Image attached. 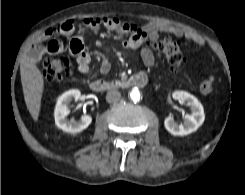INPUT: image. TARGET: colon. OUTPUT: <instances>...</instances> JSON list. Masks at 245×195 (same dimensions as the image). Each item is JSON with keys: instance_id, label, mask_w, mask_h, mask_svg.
Segmentation results:
<instances>
[{"instance_id": "colon-1", "label": "colon", "mask_w": 245, "mask_h": 195, "mask_svg": "<svg viewBox=\"0 0 245 195\" xmlns=\"http://www.w3.org/2000/svg\"><path fill=\"white\" fill-rule=\"evenodd\" d=\"M149 44L165 55L172 69H177L184 63L181 43L170 36H159ZM42 72L44 78L50 81L66 78L72 72L71 60L66 56L46 58L42 62Z\"/></svg>"}]
</instances>
